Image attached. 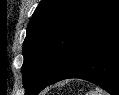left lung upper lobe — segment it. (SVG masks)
Instances as JSON below:
<instances>
[{
	"label": "left lung upper lobe",
	"instance_id": "5c2ea615",
	"mask_svg": "<svg viewBox=\"0 0 119 95\" xmlns=\"http://www.w3.org/2000/svg\"><path fill=\"white\" fill-rule=\"evenodd\" d=\"M119 0H42L27 27L22 66L25 95L62 68L80 38Z\"/></svg>",
	"mask_w": 119,
	"mask_h": 95
}]
</instances>
